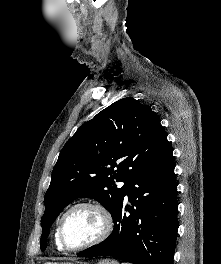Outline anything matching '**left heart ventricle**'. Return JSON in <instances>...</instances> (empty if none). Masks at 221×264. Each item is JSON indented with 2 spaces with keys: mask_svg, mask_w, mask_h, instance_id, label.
I'll use <instances>...</instances> for the list:
<instances>
[{
  "mask_svg": "<svg viewBox=\"0 0 221 264\" xmlns=\"http://www.w3.org/2000/svg\"><path fill=\"white\" fill-rule=\"evenodd\" d=\"M102 230V220L97 212L79 208L71 212L63 225V236L69 246L76 247L95 239Z\"/></svg>",
  "mask_w": 221,
  "mask_h": 264,
  "instance_id": "1",
  "label": "left heart ventricle"
}]
</instances>
